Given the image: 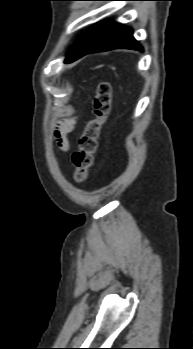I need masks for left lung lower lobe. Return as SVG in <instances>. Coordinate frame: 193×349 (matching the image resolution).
<instances>
[{
    "mask_svg": "<svg viewBox=\"0 0 193 349\" xmlns=\"http://www.w3.org/2000/svg\"><path fill=\"white\" fill-rule=\"evenodd\" d=\"M132 34V30L119 23L109 20L98 22L88 29L69 51L65 63L73 62L89 53L117 48L142 51L143 48L134 39Z\"/></svg>",
    "mask_w": 193,
    "mask_h": 349,
    "instance_id": "0a47b994",
    "label": "left lung lower lobe"
}]
</instances>
